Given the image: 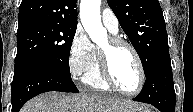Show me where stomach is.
<instances>
[{
	"mask_svg": "<svg viewBox=\"0 0 193 112\" xmlns=\"http://www.w3.org/2000/svg\"><path fill=\"white\" fill-rule=\"evenodd\" d=\"M124 112H150V110L144 108L143 106H138L136 108L128 109Z\"/></svg>",
	"mask_w": 193,
	"mask_h": 112,
	"instance_id": "obj_1",
	"label": "stomach"
}]
</instances>
